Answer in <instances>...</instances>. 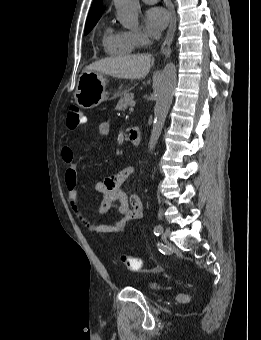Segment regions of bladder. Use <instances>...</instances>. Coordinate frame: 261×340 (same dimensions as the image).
I'll list each match as a JSON object with an SVG mask.
<instances>
[{
	"mask_svg": "<svg viewBox=\"0 0 261 340\" xmlns=\"http://www.w3.org/2000/svg\"><path fill=\"white\" fill-rule=\"evenodd\" d=\"M158 289V285L157 284H149L147 286V290L150 292H155Z\"/></svg>",
	"mask_w": 261,
	"mask_h": 340,
	"instance_id": "1",
	"label": "bladder"
}]
</instances>
